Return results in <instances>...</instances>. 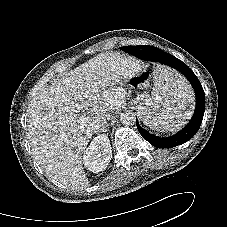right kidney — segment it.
Masks as SVG:
<instances>
[{
	"label": "right kidney",
	"instance_id": "obj_1",
	"mask_svg": "<svg viewBox=\"0 0 227 227\" xmlns=\"http://www.w3.org/2000/svg\"><path fill=\"white\" fill-rule=\"evenodd\" d=\"M112 158L109 138L106 134L95 137L83 155L84 166L93 173L106 169Z\"/></svg>",
	"mask_w": 227,
	"mask_h": 227
}]
</instances>
